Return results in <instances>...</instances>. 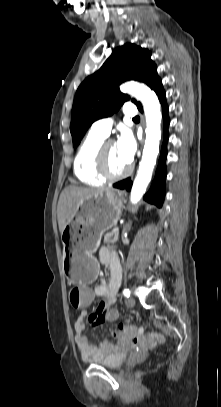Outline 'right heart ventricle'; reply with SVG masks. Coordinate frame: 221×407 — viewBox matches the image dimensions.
<instances>
[{
  "label": "right heart ventricle",
  "mask_w": 221,
  "mask_h": 407,
  "mask_svg": "<svg viewBox=\"0 0 221 407\" xmlns=\"http://www.w3.org/2000/svg\"><path fill=\"white\" fill-rule=\"evenodd\" d=\"M105 138L90 131L76 153L74 172L79 181L85 185L99 186L105 182L96 171L97 152Z\"/></svg>",
  "instance_id": "1"
}]
</instances>
